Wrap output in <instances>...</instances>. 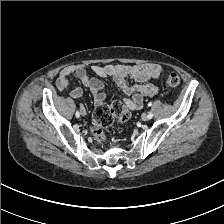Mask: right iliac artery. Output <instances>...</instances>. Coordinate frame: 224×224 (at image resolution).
Listing matches in <instances>:
<instances>
[{"label": "right iliac artery", "instance_id": "right-iliac-artery-1", "mask_svg": "<svg viewBox=\"0 0 224 224\" xmlns=\"http://www.w3.org/2000/svg\"><path fill=\"white\" fill-rule=\"evenodd\" d=\"M75 115H76L77 118H79L80 117V112L77 110Z\"/></svg>", "mask_w": 224, "mask_h": 224}]
</instances>
